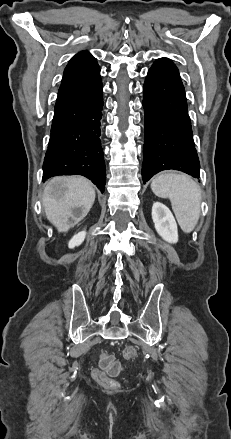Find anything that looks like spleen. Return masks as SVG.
Here are the masks:
<instances>
[{
	"mask_svg": "<svg viewBox=\"0 0 231 439\" xmlns=\"http://www.w3.org/2000/svg\"><path fill=\"white\" fill-rule=\"evenodd\" d=\"M151 189L161 198H169L176 219L186 233L191 232L200 216L201 191L198 184L184 174L157 175Z\"/></svg>",
	"mask_w": 231,
	"mask_h": 439,
	"instance_id": "3e777b00",
	"label": "spleen"
}]
</instances>
